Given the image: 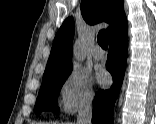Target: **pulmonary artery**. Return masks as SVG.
Segmentation results:
<instances>
[{"label": "pulmonary artery", "mask_w": 156, "mask_h": 124, "mask_svg": "<svg viewBox=\"0 0 156 124\" xmlns=\"http://www.w3.org/2000/svg\"><path fill=\"white\" fill-rule=\"evenodd\" d=\"M91 54H92L93 58L96 60H100L104 57L103 50L97 46L92 49Z\"/></svg>", "instance_id": "pulmonary-artery-1"}]
</instances>
